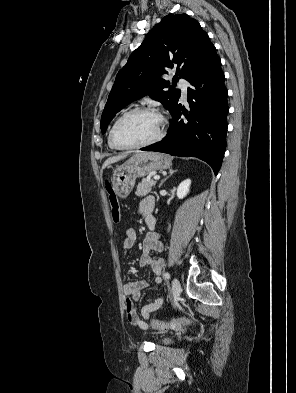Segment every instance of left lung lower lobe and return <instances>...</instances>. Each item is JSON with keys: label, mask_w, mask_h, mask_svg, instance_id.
Here are the masks:
<instances>
[{"label": "left lung lower lobe", "mask_w": 296, "mask_h": 393, "mask_svg": "<svg viewBox=\"0 0 296 393\" xmlns=\"http://www.w3.org/2000/svg\"><path fill=\"white\" fill-rule=\"evenodd\" d=\"M190 110L177 105L167 136L143 151L192 156L207 162L217 174L226 148L228 91L224 85L221 60L213 50L197 71L187 80ZM181 111L186 120L180 119Z\"/></svg>", "instance_id": "0a47b994"}]
</instances>
